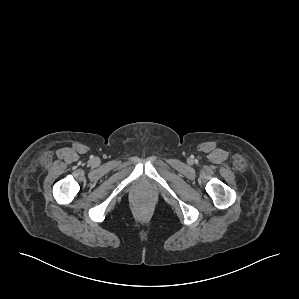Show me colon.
Wrapping results in <instances>:
<instances>
[{
  "instance_id": "obj_1",
  "label": "colon",
  "mask_w": 299,
  "mask_h": 299,
  "mask_svg": "<svg viewBox=\"0 0 299 299\" xmlns=\"http://www.w3.org/2000/svg\"><path fill=\"white\" fill-rule=\"evenodd\" d=\"M139 210L144 212L147 211L149 208V204L147 202H141L138 206Z\"/></svg>"
}]
</instances>
